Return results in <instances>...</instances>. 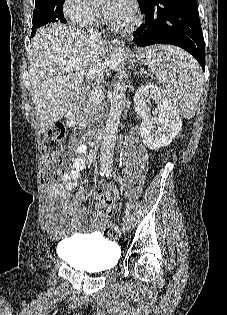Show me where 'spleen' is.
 Returning <instances> with one entry per match:
<instances>
[{"label": "spleen", "instance_id": "spleen-1", "mask_svg": "<svg viewBox=\"0 0 227 315\" xmlns=\"http://www.w3.org/2000/svg\"><path fill=\"white\" fill-rule=\"evenodd\" d=\"M140 58L163 84V94L177 113L192 118L204 83L198 63L184 51L164 45L145 49Z\"/></svg>", "mask_w": 227, "mask_h": 315}]
</instances>
